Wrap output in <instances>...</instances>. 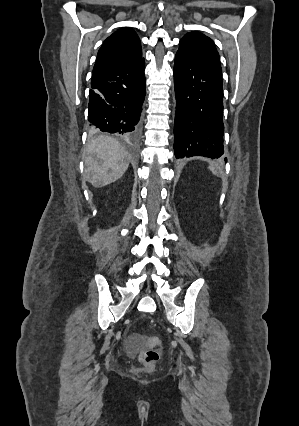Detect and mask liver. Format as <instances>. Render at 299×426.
<instances>
[{
	"instance_id": "liver-1",
	"label": "liver",
	"mask_w": 299,
	"mask_h": 426,
	"mask_svg": "<svg viewBox=\"0 0 299 426\" xmlns=\"http://www.w3.org/2000/svg\"><path fill=\"white\" fill-rule=\"evenodd\" d=\"M83 159L86 166L85 178L95 187L115 182L129 166L125 148L115 139L104 135L87 143Z\"/></svg>"
}]
</instances>
